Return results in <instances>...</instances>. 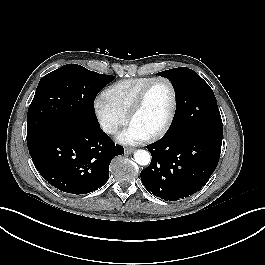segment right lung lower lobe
Masks as SVG:
<instances>
[{
	"label": "right lung lower lobe",
	"instance_id": "98d812e1",
	"mask_svg": "<svg viewBox=\"0 0 265 265\" xmlns=\"http://www.w3.org/2000/svg\"><path fill=\"white\" fill-rule=\"evenodd\" d=\"M33 163L55 188L70 194L93 192L109 178V165L124 149L99 124L67 122L27 136Z\"/></svg>",
	"mask_w": 265,
	"mask_h": 265
}]
</instances>
